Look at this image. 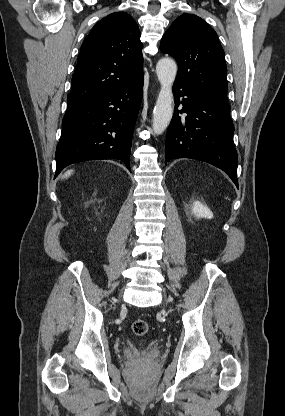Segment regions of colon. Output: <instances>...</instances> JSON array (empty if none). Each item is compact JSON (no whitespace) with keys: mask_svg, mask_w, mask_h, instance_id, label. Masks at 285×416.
<instances>
[{"mask_svg":"<svg viewBox=\"0 0 285 416\" xmlns=\"http://www.w3.org/2000/svg\"><path fill=\"white\" fill-rule=\"evenodd\" d=\"M132 332L137 336H143L147 334L149 330V325L145 320L137 319L131 325ZM146 388L141 389V395L145 396Z\"/></svg>","mask_w":285,"mask_h":416,"instance_id":"5ec220e1","label":"colon"}]
</instances>
